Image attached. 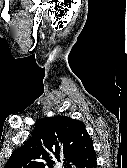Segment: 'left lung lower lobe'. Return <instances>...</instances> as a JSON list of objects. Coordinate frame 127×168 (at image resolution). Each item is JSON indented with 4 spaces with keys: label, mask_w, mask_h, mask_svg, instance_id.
<instances>
[{
    "label": "left lung lower lobe",
    "mask_w": 127,
    "mask_h": 168,
    "mask_svg": "<svg viewBox=\"0 0 127 168\" xmlns=\"http://www.w3.org/2000/svg\"><path fill=\"white\" fill-rule=\"evenodd\" d=\"M75 165L77 168H96L97 161L93 141L88 137L81 145Z\"/></svg>",
    "instance_id": "1"
}]
</instances>
